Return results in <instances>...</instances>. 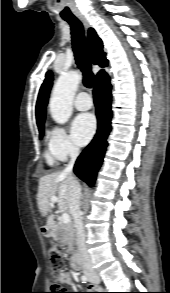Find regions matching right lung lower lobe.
Returning a JSON list of instances; mask_svg holds the SVG:
<instances>
[{
    "instance_id": "obj_1",
    "label": "right lung lower lobe",
    "mask_w": 170,
    "mask_h": 293,
    "mask_svg": "<svg viewBox=\"0 0 170 293\" xmlns=\"http://www.w3.org/2000/svg\"><path fill=\"white\" fill-rule=\"evenodd\" d=\"M94 103L98 119V130L92 142L78 157L74 166L75 174L93 186L107 147V136L111 131V84L108 75L96 81Z\"/></svg>"
}]
</instances>
